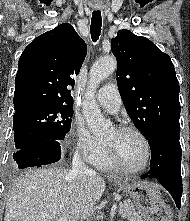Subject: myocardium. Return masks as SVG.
<instances>
[{
    "mask_svg": "<svg viewBox=\"0 0 190 221\" xmlns=\"http://www.w3.org/2000/svg\"><path fill=\"white\" fill-rule=\"evenodd\" d=\"M116 131L118 132H133L135 134H137L142 142L144 143L145 146V150H146V158L145 161L143 163V165L139 168H129L127 166H125L119 159L114 147L103 141V145L105 147L106 153L108 158L110 159V161L112 162V164L118 168L119 170L129 173V174H139L142 173L144 171H146L151 163V159H152V149H151V144L149 142V139L147 138V136L136 126L133 125H129V124H121L115 127Z\"/></svg>",
    "mask_w": 190,
    "mask_h": 221,
    "instance_id": "1",
    "label": "myocardium"
}]
</instances>
